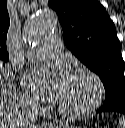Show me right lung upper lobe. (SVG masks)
<instances>
[{"mask_svg": "<svg viewBox=\"0 0 125 128\" xmlns=\"http://www.w3.org/2000/svg\"><path fill=\"white\" fill-rule=\"evenodd\" d=\"M9 25L10 19L7 11V1L0 0V59L9 60L6 46Z\"/></svg>", "mask_w": 125, "mask_h": 128, "instance_id": "1", "label": "right lung upper lobe"}]
</instances>
